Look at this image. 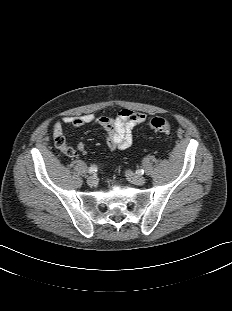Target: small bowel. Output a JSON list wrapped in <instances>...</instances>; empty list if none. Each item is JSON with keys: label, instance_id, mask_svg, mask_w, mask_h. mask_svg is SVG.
<instances>
[{"label": "small bowel", "instance_id": "c3829d8e", "mask_svg": "<svg viewBox=\"0 0 232 311\" xmlns=\"http://www.w3.org/2000/svg\"><path fill=\"white\" fill-rule=\"evenodd\" d=\"M147 116L139 111L123 109L117 117H97L94 114L82 116H66L62 121H57L53 125V135L55 139L64 138L63 124L73 127H83L86 124L95 123L103 127L106 132V144L110 150H124L132 145L133 130L139 124L146 121ZM62 151L64 147L59 146ZM77 149L80 152L85 150L83 142L78 143Z\"/></svg>", "mask_w": 232, "mask_h": 311}]
</instances>
